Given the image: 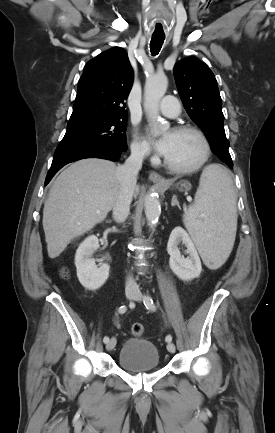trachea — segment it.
Segmentation results:
<instances>
[{
    "mask_svg": "<svg viewBox=\"0 0 275 433\" xmlns=\"http://www.w3.org/2000/svg\"><path fill=\"white\" fill-rule=\"evenodd\" d=\"M165 36L164 35H152L150 41V50L153 56L157 55L163 45Z\"/></svg>",
    "mask_w": 275,
    "mask_h": 433,
    "instance_id": "obj_1",
    "label": "trachea"
}]
</instances>
